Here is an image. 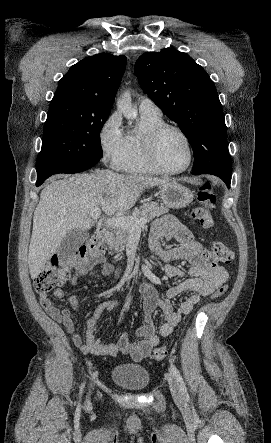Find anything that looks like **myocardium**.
<instances>
[{"label":"myocardium","instance_id":"f54148a6","mask_svg":"<svg viewBox=\"0 0 271 443\" xmlns=\"http://www.w3.org/2000/svg\"><path fill=\"white\" fill-rule=\"evenodd\" d=\"M169 130H173V131H176L177 133H179L183 137V139L185 140L188 150H189L188 162L186 163V165H184L183 167L178 168V169H171V168H168L167 166H165L163 164V162L161 161V159L159 157V153H158V146H159L160 139ZM145 149H146L147 158H148L149 162L152 164V166L155 169H157L159 172L166 173V174H178V173H182V172L188 170L191 167V165L194 161V156H195V151H194L192 141L189 138V136L187 135V133L183 129H181L179 126L169 124V123H162V124L157 125L151 129V131L148 133L147 138H146Z\"/></svg>","mask_w":271,"mask_h":443}]
</instances>
